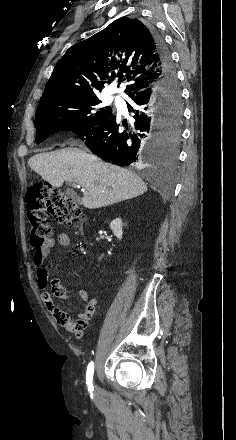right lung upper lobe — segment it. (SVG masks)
<instances>
[{"mask_svg":"<svg viewBox=\"0 0 236 440\" xmlns=\"http://www.w3.org/2000/svg\"><path fill=\"white\" fill-rule=\"evenodd\" d=\"M150 29L138 19L121 17L102 31L73 45L57 62L40 100L72 94L98 95L106 83L126 82L129 95L161 76Z\"/></svg>","mask_w":236,"mask_h":440,"instance_id":"obj_1","label":"right lung upper lobe"}]
</instances>
